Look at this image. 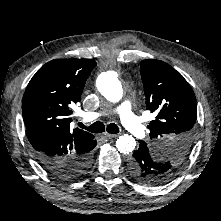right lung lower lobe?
<instances>
[{
	"instance_id": "obj_1",
	"label": "right lung lower lobe",
	"mask_w": 221,
	"mask_h": 221,
	"mask_svg": "<svg viewBox=\"0 0 221 221\" xmlns=\"http://www.w3.org/2000/svg\"><path fill=\"white\" fill-rule=\"evenodd\" d=\"M41 165L52 175L61 179H74L85 174L91 166L92 158L89 152L75 160L60 163L54 160L45 159L36 155Z\"/></svg>"
}]
</instances>
